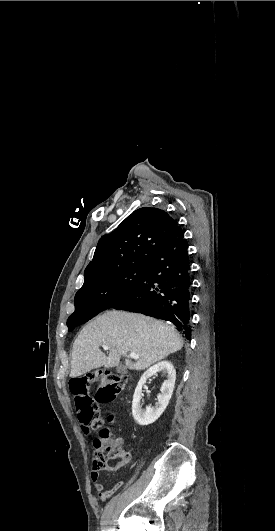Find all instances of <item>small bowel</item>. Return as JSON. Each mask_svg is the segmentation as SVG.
<instances>
[{
	"label": "small bowel",
	"mask_w": 275,
	"mask_h": 531,
	"mask_svg": "<svg viewBox=\"0 0 275 531\" xmlns=\"http://www.w3.org/2000/svg\"><path fill=\"white\" fill-rule=\"evenodd\" d=\"M100 443H101V441L95 439L92 442V446L97 448V447H99ZM119 458L132 460L131 454L129 452H126V451H121L119 453ZM115 470H118V469H111V471H115ZM99 477H100V473H98V474L93 473L92 474V480L95 482V489H96V492H97V499L100 502L104 503V502H106V500L109 497L113 496L117 492V490L119 488H117L115 485L107 486L104 483L98 482Z\"/></svg>",
	"instance_id": "obj_1"
}]
</instances>
